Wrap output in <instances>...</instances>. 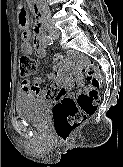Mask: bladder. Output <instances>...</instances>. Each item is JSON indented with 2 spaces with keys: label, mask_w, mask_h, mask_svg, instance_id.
I'll return each mask as SVG.
<instances>
[{
  "label": "bladder",
  "mask_w": 123,
  "mask_h": 167,
  "mask_svg": "<svg viewBox=\"0 0 123 167\" xmlns=\"http://www.w3.org/2000/svg\"><path fill=\"white\" fill-rule=\"evenodd\" d=\"M51 101L38 97L21 96L16 99V113L27 121L44 125L51 111Z\"/></svg>",
  "instance_id": "obj_1"
}]
</instances>
